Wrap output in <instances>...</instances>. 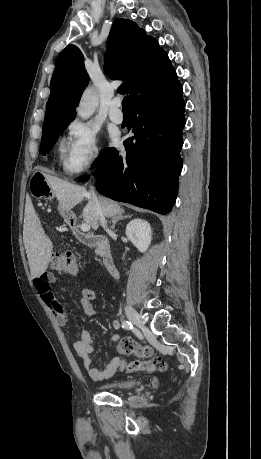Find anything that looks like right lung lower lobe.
Wrapping results in <instances>:
<instances>
[{"instance_id":"1","label":"right lung lower lobe","mask_w":261,"mask_h":459,"mask_svg":"<svg viewBox=\"0 0 261 459\" xmlns=\"http://www.w3.org/2000/svg\"><path fill=\"white\" fill-rule=\"evenodd\" d=\"M182 86L131 107L133 137L124 141L126 153L109 148L94 172L99 193L167 214L172 209L182 169L180 149L185 125ZM84 176L80 181H87Z\"/></svg>"}]
</instances>
